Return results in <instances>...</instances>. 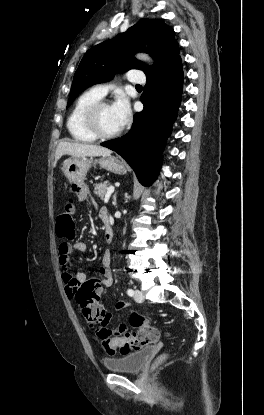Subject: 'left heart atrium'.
I'll return each instance as SVG.
<instances>
[{
  "label": "left heart atrium",
  "mask_w": 264,
  "mask_h": 415,
  "mask_svg": "<svg viewBox=\"0 0 264 415\" xmlns=\"http://www.w3.org/2000/svg\"><path fill=\"white\" fill-rule=\"evenodd\" d=\"M112 109L117 116L121 126H123L129 120L131 114L127 98L122 94L119 95L112 105Z\"/></svg>",
  "instance_id": "obj_1"
}]
</instances>
